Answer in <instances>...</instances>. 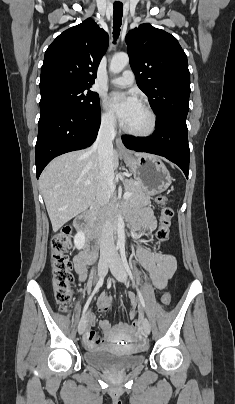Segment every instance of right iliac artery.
Listing matches in <instances>:
<instances>
[{
	"mask_svg": "<svg viewBox=\"0 0 235 404\" xmlns=\"http://www.w3.org/2000/svg\"><path fill=\"white\" fill-rule=\"evenodd\" d=\"M116 250H118V247L116 248ZM105 275H106V273H105L103 276L100 277V279H99L97 285H96L95 288H94V291H93L92 295L88 298V300H87V302H86V304H85V306H84V309H83V312H82V318H81V319H84V318H85V313H86V311H87V309H88V307H89V304H90V302H91V300H92V297H93V295H94L96 292H98L99 288L102 286V284H103V282H104V277H105Z\"/></svg>",
	"mask_w": 235,
	"mask_h": 404,
	"instance_id": "82829eb1",
	"label": "right iliac artery"
}]
</instances>
